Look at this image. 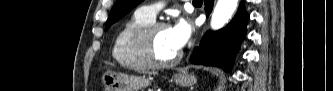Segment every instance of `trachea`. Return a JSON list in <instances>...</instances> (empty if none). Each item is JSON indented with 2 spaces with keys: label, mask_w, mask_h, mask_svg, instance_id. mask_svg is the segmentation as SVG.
Returning <instances> with one entry per match:
<instances>
[{
  "label": "trachea",
  "mask_w": 333,
  "mask_h": 91,
  "mask_svg": "<svg viewBox=\"0 0 333 91\" xmlns=\"http://www.w3.org/2000/svg\"><path fill=\"white\" fill-rule=\"evenodd\" d=\"M193 2H199V3H202L203 0H193Z\"/></svg>",
  "instance_id": "obj_1"
}]
</instances>
